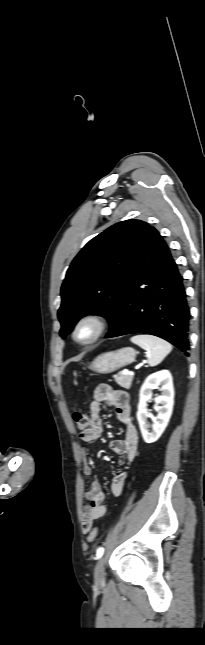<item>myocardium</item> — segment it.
Here are the masks:
<instances>
[{
  "label": "myocardium",
  "mask_w": 205,
  "mask_h": 645,
  "mask_svg": "<svg viewBox=\"0 0 205 645\" xmlns=\"http://www.w3.org/2000/svg\"><path fill=\"white\" fill-rule=\"evenodd\" d=\"M89 327L90 334L87 337H81L80 332L83 328ZM107 329L106 319L97 313H89L81 316L72 329V338L75 342L88 345L100 339Z\"/></svg>",
  "instance_id": "myocardium-1"
}]
</instances>
